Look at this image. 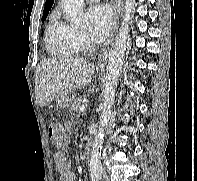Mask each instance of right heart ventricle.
I'll return each instance as SVG.
<instances>
[{"instance_id": "1", "label": "right heart ventricle", "mask_w": 197, "mask_h": 181, "mask_svg": "<svg viewBox=\"0 0 197 181\" xmlns=\"http://www.w3.org/2000/svg\"><path fill=\"white\" fill-rule=\"evenodd\" d=\"M45 43L48 52L54 57L71 58L80 53L76 28L57 15H53L48 22Z\"/></svg>"}]
</instances>
